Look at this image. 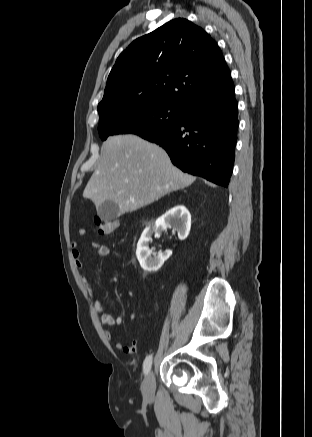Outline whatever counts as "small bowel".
Masks as SVG:
<instances>
[{
    "instance_id": "small-bowel-1",
    "label": "small bowel",
    "mask_w": 312,
    "mask_h": 437,
    "mask_svg": "<svg viewBox=\"0 0 312 437\" xmlns=\"http://www.w3.org/2000/svg\"><path fill=\"white\" fill-rule=\"evenodd\" d=\"M85 234H86L85 229H83V228L79 229L78 235L80 237L85 236ZM92 247L96 250V254L100 258L107 257L110 254V248L107 245L100 244L98 242H93ZM71 249H72V256H73L75 265L77 266V268L82 269L84 267V264L82 261V254H81V251L79 250L78 243L72 242ZM81 281H82L84 288L88 292L89 296L94 301L95 309L98 312L102 313L101 318H100L102 326H104L106 328L120 326L124 321L123 316L120 314L112 315L109 313H105L104 312L105 311V304L102 301H100V299L98 298L95 290L93 289V287L90 284V282L88 281V279L85 276H81ZM105 337L108 341L114 340L113 333L109 329H106ZM114 346L116 349L122 351L123 353H125L127 355H132V354H135L137 352L138 341L132 340L129 345H124L121 341L116 340L114 342Z\"/></svg>"
}]
</instances>
